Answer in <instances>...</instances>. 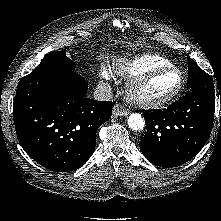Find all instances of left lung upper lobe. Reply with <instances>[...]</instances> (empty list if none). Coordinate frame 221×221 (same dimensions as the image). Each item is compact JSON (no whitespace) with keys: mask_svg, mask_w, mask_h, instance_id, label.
<instances>
[{"mask_svg":"<svg viewBox=\"0 0 221 221\" xmlns=\"http://www.w3.org/2000/svg\"><path fill=\"white\" fill-rule=\"evenodd\" d=\"M188 85L190 92L201 91L215 96L213 80L210 75L203 71L190 57H188ZM189 92V93H190Z\"/></svg>","mask_w":221,"mask_h":221,"instance_id":"obj_1","label":"left lung upper lobe"}]
</instances>
